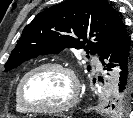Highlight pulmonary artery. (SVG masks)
<instances>
[{"label": "pulmonary artery", "mask_w": 133, "mask_h": 118, "mask_svg": "<svg viewBox=\"0 0 133 118\" xmlns=\"http://www.w3.org/2000/svg\"><path fill=\"white\" fill-rule=\"evenodd\" d=\"M93 62L96 63V64L98 65L99 69L102 68V64H101V62H100V60H99L98 57H94V58H93Z\"/></svg>", "instance_id": "1"}]
</instances>
